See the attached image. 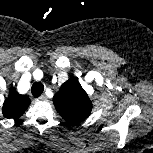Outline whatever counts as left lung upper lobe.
<instances>
[{
  "instance_id": "5c2ea615",
  "label": "left lung upper lobe",
  "mask_w": 153,
  "mask_h": 153,
  "mask_svg": "<svg viewBox=\"0 0 153 153\" xmlns=\"http://www.w3.org/2000/svg\"><path fill=\"white\" fill-rule=\"evenodd\" d=\"M53 102L57 112L70 125L84 121L91 114L92 102L75 78H70L61 86Z\"/></svg>"
}]
</instances>
